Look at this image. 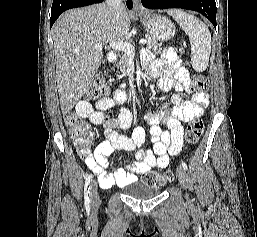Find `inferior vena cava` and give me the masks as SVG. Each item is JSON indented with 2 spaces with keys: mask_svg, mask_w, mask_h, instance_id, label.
<instances>
[{
  "mask_svg": "<svg viewBox=\"0 0 257 237\" xmlns=\"http://www.w3.org/2000/svg\"><path fill=\"white\" fill-rule=\"evenodd\" d=\"M124 0H107V7L109 8L111 15L115 21H119L120 14L125 10Z\"/></svg>",
  "mask_w": 257,
  "mask_h": 237,
  "instance_id": "1",
  "label": "inferior vena cava"
}]
</instances>
